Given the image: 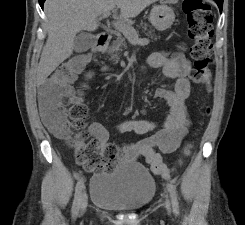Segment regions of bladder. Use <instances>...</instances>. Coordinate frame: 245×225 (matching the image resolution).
<instances>
[{
	"instance_id": "31cf9c89",
	"label": "bladder",
	"mask_w": 245,
	"mask_h": 225,
	"mask_svg": "<svg viewBox=\"0 0 245 225\" xmlns=\"http://www.w3.org/2000/svg\"><path fill=\"white\" fill-rule=\"evenodd\" d=\"M156 183L136 162H120L113 171H99L90 178V202L113 211H138L153 199Z\"/></svg>"
}]
</instances>
